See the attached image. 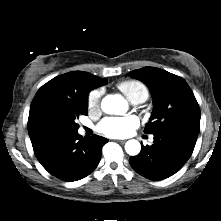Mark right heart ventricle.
Returning <instances> with one entry per match:
<instances>
[{
  "mask_svg": "<svg viewBox=\"0 0 221 221\" xmlns=\"http://www.w3.org/2000/svg\"><path fill=\"white\" fill-rule=\"evenodd\" d=\"M117 87L131 102L134 100H141L143 102L149 95L147 87L137 80L122 81Z\"/></svg>",
  "mask_w": 221,
  "mask_h": 221,
  "instance_id": "1",
  "label": "right heart ventricle"
}]
</instances>
